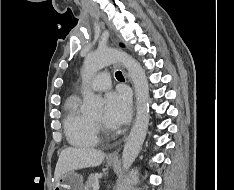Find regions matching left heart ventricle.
Returning a JSON list of instances; mask_svg holds the SVG:
<instances>
[{
	"instance_id": "obj_1",
	"label": "left heart ventricle",
	"mask_w": 234,
	"mask_h": 190,
	"mask_svg": "<svg viewBox=\"0 0 234 190\" xmlns=\"http://www.w3.org/2000/svg\"><path fill=\"white\" fill-rule=\"evenodd\" d=\"M93 119L98 120V121H102L103 120V113L101 112V113L95 115L93 117Z\"/></svg>"
}]
</instances>
